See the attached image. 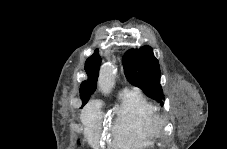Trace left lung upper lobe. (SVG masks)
I'll list each match as a JSON object with an SVG mask.
<instances>
[{
	"label": "left lung upper lobe",
	"mask_w": 227,
	"mask_h": 149,
	"mask_svg": "<svg viewBox=\"0 0 227 149\" xmlns=\"http://www.w3.org/2000/svg\"><path fill=\"white\" fill-rule=\"evenodd\" d=\"M123 67L125 76L132 85L163 104L160 66L150 46L128 50L123 56Z\"/></svg>",
	"instance_id": "1"
}]
</instances>
